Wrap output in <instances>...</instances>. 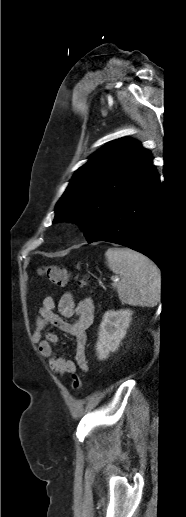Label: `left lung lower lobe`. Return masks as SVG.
Segmentation results:
<instances>
[{
  "mask_svg": "<svg viewBox=\"0 0 186 517\" xmlns=\"http://www.w3.org/2000/svg\"><path fill=\"white\" fill-rule=\"evenodd\" d=\"M160 179L153 164L105 215L94 238L89 242L107 241L138 251L164 271L159 250Z\"/></svg>",
  "mask_w": 186,
  "mask_h": 517,
  "instance_id": "left-lung-lower-lobe-1",
  "label": "left lung lower lobe"
}]
</instances>
